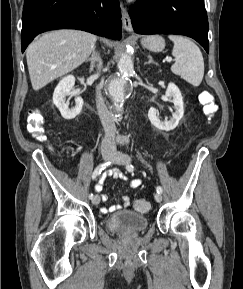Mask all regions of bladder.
I'll return each instance as SVG.
<instances>
[{"mask_svg": "<svg viewBox=\"0 0 243 289\" xmlns=\"http://www.w3.org/2000/svg\"><path fill=\"white\" fill-rule=\"evenodd\" d=\"M105 225L112 232L129 234L144 231L147 229L149 221L143 214L131 210H122L110 214L106 218Z\"/></svg>", "mask_w": 243, "mask_h": 289, "instance_id": "31cf9c89", "label": "bladder"}]
</instances>
